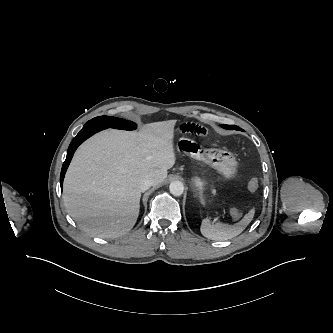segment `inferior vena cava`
<instances>
[{
  "mask_svg": "<svg viewBox=\"0 0 333 333\" xmlns=\"http://www.w3.org/2000/svg\"><path fill=\"white\" fill-rule=\"evenodd\" d=\"M153 185V180L151 178H144L139 182V190L145 192Z\"/></svg>",
  "mask_w": 333,
  "mask_h": 333,
  "instance_id": "602c4592",
  "label": "inferior vena cava"
}]
</instances>
